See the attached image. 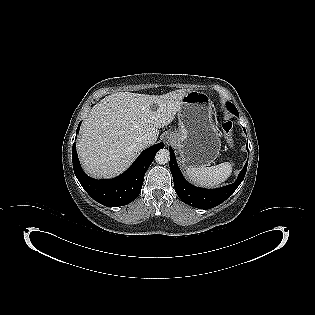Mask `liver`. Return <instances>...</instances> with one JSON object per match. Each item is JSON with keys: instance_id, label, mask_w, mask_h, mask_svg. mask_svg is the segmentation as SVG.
<instances>
[{"instance_id": "liver-1", "label": "liver", "mask_w": 315, "mask_h": 315, "mask_svg": "<svg viewBox=\"0 0 315 315\" xmlns=\"http://www.w3.org/2000/svg\"><path fill=\"white\" fill-rule=\"evenodd\" d=\"M188 92H117L106 96L93 106L81 127L77 152L83 169L96 178L114 177L125 171L147 147L141 138L150 135L156 140L158 129L174 120Z\"/></svg>"}]
</instances>
